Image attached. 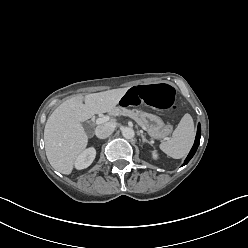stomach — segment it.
I'll list each match as a JSON object with an SVG mask.
<instances>
[{
	"mask_svg": "<svg viewBox=\"0 0 248 248\" xmlns=\"http://www.w3.org/2000/svg\"><path fill=\"white\" fill-rule=\"evenodd\" d=\"M136 122H143L150 137L156 140L165 139L172 131L170 124H165L164 121L157 115L138 111L135 114Z\"/></svg>",
	"mask_w": 248,
	"mask_h": 248,
	"instance_id": "1",
	"label": "stomach"
}]
</instances>
